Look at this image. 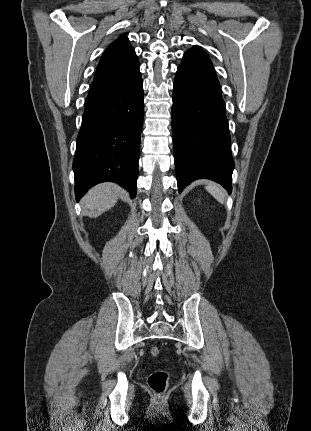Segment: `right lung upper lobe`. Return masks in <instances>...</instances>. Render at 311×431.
Wrapping results in <instances>:
<instances>
[{"instance_id": "obj_1", "label": "right lung upper lobe", "mask_w": 311, "mask_h": 431, "mask_svg": "<svg viewBox=\"0 0 311 431\" xmlns=\"http://www.w3.org/2000/svg\"><path fill=\"white\" fill-rule=\"evenodd\" d=\"M137 65L139 62L135 50L130 45L128 38L122 35L103 53L93 84L123 76Z\"/></svg>"}]
</instances>
